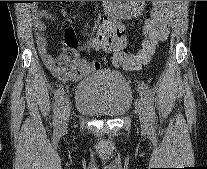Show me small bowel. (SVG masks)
I'll return each mask as SVG.
<instances>
[{"instance_id":"c3829d8e","label":"small bowel","mask_w":207,"mask_h":169,"mask_svg":"<svg viewBox=\"0 0 207 169\" xmlns=\"http://www.w3.org/2000/svg\"><path fill=\"white\" fill-rule=\"evenodd\" d=\"M73 2V1H67ZM143 1H103L105 17L100 28L111 30L115 33L114 42L126 45L121 22L135 17L140 13ZM57 18L47 10L32 13L35 28V39L39 55L45 66L58 78L64 81H75L101 69V63L79 57L77 52V39L72 27L64 32L63 52L54 58L48 50V40L45 36V21H55Z\"/></svg>"}]
</instances>
